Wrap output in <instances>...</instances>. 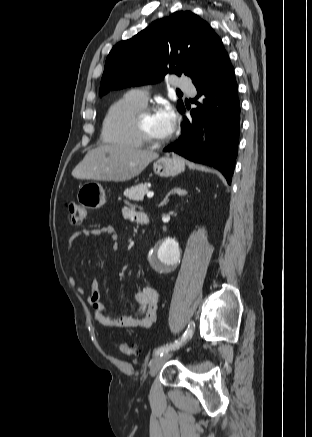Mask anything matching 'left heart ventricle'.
<instances>
[{"mask_svg":"<svg viewBox=\"0 0 312 437\" xmlns=\"http://www.w3.org/2000/svg\"><path fill=\"white\" fill-rule=\"evenodd\" d=\"M142 126L146 133L155 140H163L167 138L166 135L159 124L156 114H149L143 117Z\"/></svg>","mask_w":312,"mask_h":437,"instance_id":"b2bd125f","label":"left heart ventricle"}]
</instances>
